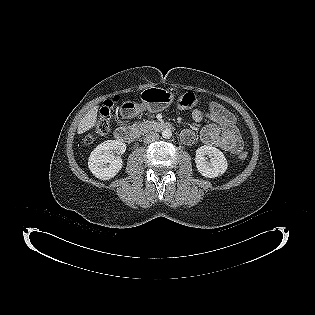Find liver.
<instances>
[{
  "mask_svg": "<svg viewBox=\"0 0 315 315\" xmlns=\"http://www.w3.org/2000/svg\"><path fill=\"white\" fill-rule=\"evenodd\" d=\"M97 112L98 107L95 106L90 109L87 114L80 120V123L78 125L79 134H82L95 126L97 121Z\"/></svg>",
  "mask_w": 315,
  "mask_h": 315,
  "instance_id": "obj_1",
  "label": "liver"
}]
</instances>
